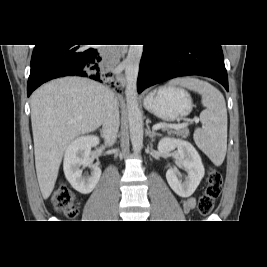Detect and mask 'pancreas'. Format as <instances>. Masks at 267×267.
<instances>
[{
    "label": "pancreas",
    "mask_w": 267,
    "mask_h": 267,
    "mask_svg": "<svg viewBox=\"0 0 267 267\" xmlns=\"http://www.w3.org/2000/svg\"><path fill=\"white\" fill-rule=\"evenodd\" d=\"M169 135H177L181 136L182 138H186L189 136V130L187 128H179V129H166Z\"/></svg>",
    "instance_id": "pancreas-1"
}]
</instances>
